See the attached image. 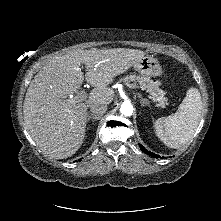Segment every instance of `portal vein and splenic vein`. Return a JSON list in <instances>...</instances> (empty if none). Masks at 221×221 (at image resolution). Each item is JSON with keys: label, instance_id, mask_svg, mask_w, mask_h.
<instances>
[{"label": "portal vein and splenic vein", "instance_id": "1", "mask_svg": "<svg viewBox=\"0 0 221 221\" xmlns=\"http://www.w3.org/2000/svg\"><path fill=\"white\" fill-rule=\"evenodd\" d=\"M125 85L129 88L136 89L137 87L133 84L125 83ZM86 99V92L84 90L77 93V96L73 98L74 103L82 102Z\"/></svg>", "mask_w": 221, "mask_h": 221}]
</instances>
